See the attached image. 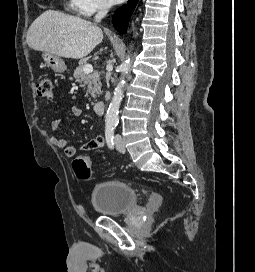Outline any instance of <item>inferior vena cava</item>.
Wrapping results in <instances>:
<instances>
[{
	"label": "inferior vena cava",
	"instance_id": "1",
	"mask_svg": "<svg viewBox=\"0 0 255 272\" xmlns=\"http://www.w3.org/2000/svg\"><path fill=\"white\" fill-rule=\"evenodd\" d=\"M111 5L107 0H102L98 7V12L95 16V21L100 22L101 19L108 13Z\"/></svg>",
	"mask_w": 255,
	"mask_h": 272
}]
</instances>
